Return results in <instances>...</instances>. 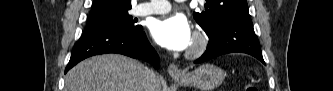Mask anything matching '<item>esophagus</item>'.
Listing matches in <instances>:
<instances>
[{
    "label": "esophagus",
    "instance_id": "obj_1",
    "mask_svg": "<svg viewBox=\"0 0 333 91\" xmlns=\"http://www.w3.org/2000/svg\"><path fill=\"white\" fill-rule=\"evenodd\" d=\"M168 72L171 77H181L183 76V72L179 69L178 65L175 63H171L168 67Z\"/></svg>",
    "mask_w": 333,
    "mask_h": 91
}]
</instances>
